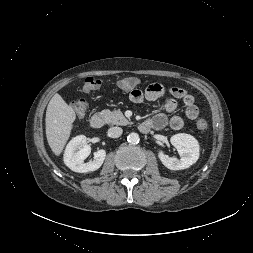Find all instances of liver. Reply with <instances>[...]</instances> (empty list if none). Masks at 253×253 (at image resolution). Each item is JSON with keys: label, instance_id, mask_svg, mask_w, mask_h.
Returning <instances> with one entry per match:
<instances>
[{"label": "liver", "instance_id": "obj_1", "mask_svg": "<svg viewBox=\"0 0 253 253\" xmlns=\"http://www.w3.org/2000/svg\"><path fill=\"white\" fill-rule=\"evenodd\" d=\"M75 119L74 109L56 93L47 106L45 118L47 141L56 156L62 153Z\"/></svg>", "mask_w": 253, "mask_h": 253}]
</instances>
